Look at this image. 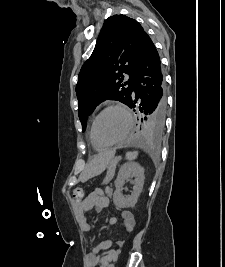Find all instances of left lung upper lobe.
I'll return each mask as SVG.
<instances>
[{
    "label": "left lung upper lobe",
    "mask_w": 225,
    "mask_h": 267,
    "mask_svg": "<svg viewBox=\"0 0 225 267\" xmlns=\"http://www.w3.org/2000/svg\"><path fill=\"white\" fill-rule=\"evenodd\" d=\"M147 33L142 26L125 15L105 20L90 58L82 66L76 95L82 128L97 105L107 99L130 105L137 61ZM124 74L130 76L123 82ZM142 112V111H141ZM140 126L148 133L159 135L164 122L158 124L151 115L141 117Z\"/></svg>",
    "instance_id": "obj_1"
}]
</instances>
